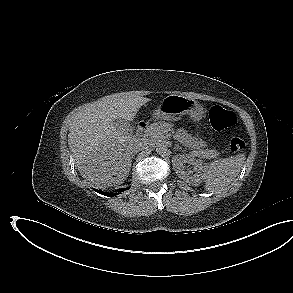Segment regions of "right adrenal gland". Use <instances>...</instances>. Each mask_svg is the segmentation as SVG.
I'll return each mask as SVG.
<instances>
[{"label": "right adrenal gland", "instance_id": "obj_1", "mask_svg": "<svg viewBox=\"0 0 293 293\" xmlns=\"http://www.w3.org/2000/svg\"><path fill=\"white\" fill-rule=\"evenodd\" d=\"M135 154L132 155V158H134Z\"/></svg>", "mask_w": 293, "mask_h": 293}]
</instances>
